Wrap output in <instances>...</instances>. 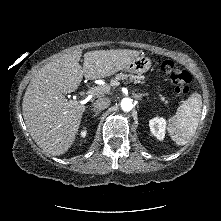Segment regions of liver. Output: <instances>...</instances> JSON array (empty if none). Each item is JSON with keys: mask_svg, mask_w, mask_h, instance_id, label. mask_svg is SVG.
Returning <instances> with one entry per match:
<instances>
[{"mask_svg": "<svg viewBox=\"0 0 221 221\" xmlns=\"http://www.w3.org/2000/svg\"><path fill=\"white\" fill-rule=\"evenodd\" d=\"M139 55L129 49L89 51L81 67L82 52L73 51L41 68L22 102L23 117L35 143L53 156L67 152L78 134L85 105L68 101L64 94L74 92L83 76L90 80L111 76Z\"/></svg>", "mask_w": 221, "mask_h": 221, "instance_id": "obj_1", "label": "liver"}]
</instances>
